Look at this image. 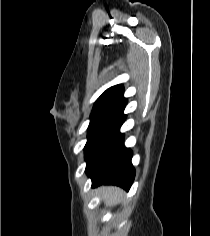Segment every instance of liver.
Here are the masks:
<instances>
[{"mask_svg": "<svg viewBox=\"0 0 210 236\" xmlns=\"http://www.w3.org/2000/svg\"><path fill=\"white\" fill-rule=\"evenodd\" d=\"M99 191L106 205H115L119 203L123 195V191L114 186L101 187Z\"/></svg>", "mask_w": 210, "mask_h": 236, "instance_id": "obj_1", "label": "liver"}]
</instances>
